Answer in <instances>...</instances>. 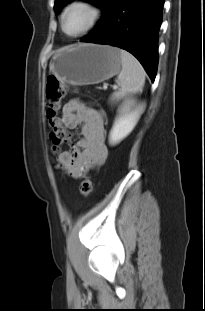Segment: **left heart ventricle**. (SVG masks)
<instances>
[{"label": "left heart ventricle", "mask_w": 205, "mask_h": 311, "mask_svg": "<svg viewBox=\"0 0 205 311\" xmlns=\"http://www.w3.org/2000/svg\"><path fill=\"white\" fill-rule=\"evenodd\" d=\"M91 12L83 6L72 7L65 18L64 27L67 33L76 34L82 31L90 22Z\"/></svg>", "instance_id": "1"}]
</instances>
